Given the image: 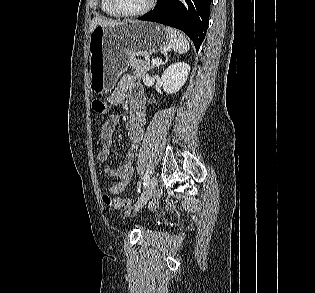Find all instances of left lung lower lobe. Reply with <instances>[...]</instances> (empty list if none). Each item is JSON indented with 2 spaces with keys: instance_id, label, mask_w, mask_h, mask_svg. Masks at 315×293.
<instances>
[{
  "instance_id": "left-lung-lower-lobe-1",
  "label": "left lung lower lobe",
  "mask_w": 315,
  "mask_h": 293,
  "mask_svg": "<svg viewBox=\"0 0 315 293\" xmlns=\"http://www.w3.org/2000/svg\"><path fill=\"white\" fill-rule=\"evenodd\" d=\"M210 3L211 0H158L153 10L138 19L182 30L198 51L208 27Z\"/></svg>"
}]
</instances>
